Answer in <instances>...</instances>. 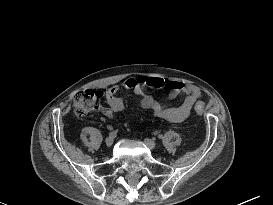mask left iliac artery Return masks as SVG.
Here are the masks:
<instances>
[{
    "mask_svg": "<svg viewBox=\"0 0 273 205\" xmlns=\"http://www.w3.org/2000/svg\"><path fill=\"white\" fill-rule=\"evenodd\" d=\"M158 138H159V139H162V138H163V136H162V135H158Z\"/></svg>",
    "mask_w": 273,
    "mask_h": 205,
    "instance_id": "obj_1",
    "label": "left iliac artery"
}]
</instances>
